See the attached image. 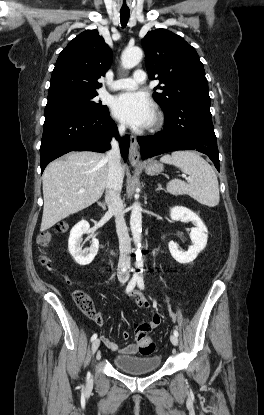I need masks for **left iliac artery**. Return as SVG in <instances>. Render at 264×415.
I'll list each match as a JSON object with an SVG mask.
<instances>
[{
  "label": "left iliac artery",
  "instance_id": "1",
  "mask_svg": "<svg viewBox=\"0 0 264 415\" xmlns=\"http://www.w3.org/2000/svg\"><path fill=\"white\" fill-rule=\"evenodd\" d=\"M137 285L140 289H144V280L141 276L137 275ZM174 335L178 337L179 333L177 330H174Z\"/></svg>",
  "mask_w": 264,
  "mask_h": 415
}]
</instances>
